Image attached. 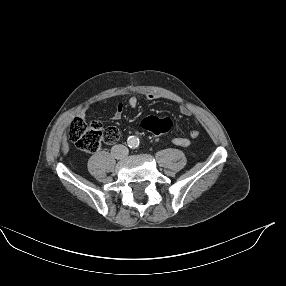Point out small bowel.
I'll list each match as a JSON object with an SVG mask.
<instances>
[{"instance_id":"c3829d8e","label":"small bowel","mask_w":286,"mask_h":286,"mask_svg":"<svg viewBox=\"0 0 286 286\" xmlns=\"http://www.w3.org/2000/svg\"><path fill=\"white\" fill-rule=\"evenodd\" d=\"M145 97H146L147 100H150V101L157 100L159 98V96L157 94H155V93H147ZM127 104L131 108H136L138 106V104H139L138 97L135 96V95L130 96L128 98ZM124 107L125 106L122 103H119L116 106V109H115V112H114V115H113V119L114 120H118V119H120L122 117V114H123V111H124ZM181 113L183 115H186V116L191 115V111L187 107H182ZM80 116L83 118L84 114H81ZM198 135H199V132L197 130H192L189 133L188 137H181V136L173 137L172 138V143L174 145H176V146L186 148V147H189L191 145V141L196 139L198 137Z\"/></svg>"}]
</instances>
